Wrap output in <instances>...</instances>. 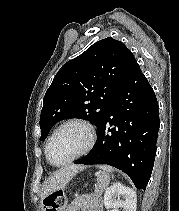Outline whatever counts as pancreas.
I'll list each match as a JSON object with an SVG mask.
<instances>
[{
  "mask_svg": "<svg viewBox=\"0 0 179 211\" xmlns=\"http://www.w3.org/2000/svg\"><path fill=\"white\" fill-rule=\"evenodd\" d=\"M108 182L103 180H98L97 184L95 185V194L100 197L103 193L104 189L106 188Z\"/></svg>",
  "mask_w": 179,
  "mask_h": 211,
  "instance_id": "1",
  "label": "pancreas"
}]
</instances>
